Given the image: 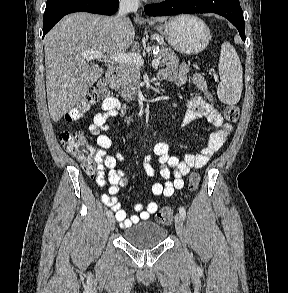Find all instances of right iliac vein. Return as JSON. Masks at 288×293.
Masks as SVG:
<instances>
[{
  "label": "right iliac vein",
  "mask_w": 288,
  "mask_h": 293,
  "mask_svg": "<svg viewBox=\"0 0 288 293\" xmlns=\"http://www.w3.org/2000/svg\"><path fill=\"white\" fill-rule=\"evenodd\" d=\"M115 224H116V222H115L114 216H110L108 218V226H109L110 230H113L115 228Z\"/></svg>",
  "instance_id": "1"
}]
</instances>
